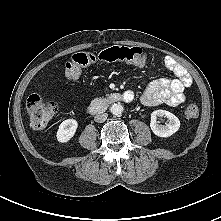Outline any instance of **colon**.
Here are the masks:
<instances>
[{"label": "colon", "mask_w": 221, "mask_h": 221, "mask_svg": "<svg viewBox=\"0 0 221 221\" xmlns=\"http://www.w3.org/2000/svg\"><path fill=\"white\" fill-rule=\"evenodd\" d=\"M145 60V53L139 47L112 46L98 52H78L72 55L67 62L65 76L69 80H76L81 75L82 68L96 62L120 61L142 65ZM26 106L30 125L35 130L45 128L58 109L54 101L44 100L36 93L28 97ZM184 115L187 119H196L199 115V109L196 105H187L184 109Z\"/></svg>", "instance_id": "5ec220e1"}]
</instances>
